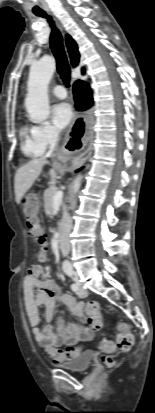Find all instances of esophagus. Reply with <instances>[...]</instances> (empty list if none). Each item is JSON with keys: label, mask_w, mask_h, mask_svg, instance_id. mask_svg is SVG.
<instances>
[{"label": "esophagus", "mask_w": 155, "mask_h": 413, "mask_svg": "<svg viewBox=\"0 0 155 413\" xmlns=\"http://www.w3.org/2000/svg\"><path fill=\"white\" fill-rule=\"evenodd\" d=\"M79 116H80V115L77 114V115H76V119H77ZM74 149H75V148H73V150H74ZM61 150H62L64 156H66L67 153L70 152L71 149H69V145H67V143H65V144L62 146ZM91 153H92V146H91V145H88L87 149H86L83 153H81L80 155L75 156V157L73 158L71 168H72V169H75V168L83 165V164L86 162V160L89 158V156L91 155Z\"/></svg>", "instance_id": "obj_1"}]
</instances>
